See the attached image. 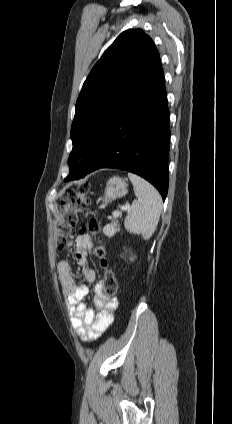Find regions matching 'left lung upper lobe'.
Instances as JSON below:
<instances>
[{"mask_svg": "<svg viewBox=\"0 0 232 424\" xmlns=\"http://www.w3.org/2000/svg\"><path fill=\"white\" fill-rule=\"evenodd\" d=\"M159 63L154 42L141 29L122 32L104 52L76 102L68 180L87 174L109 128Z\"/></svg>", "mask_w": 232, "mask_h": 424, "instance_id": "5c2ea615", "label": "left lung upper lobe"}]
</instances>
